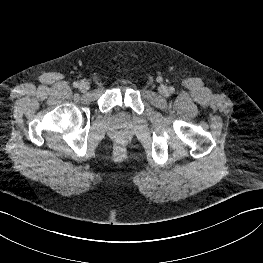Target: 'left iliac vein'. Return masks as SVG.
Masks as SVG:
<instances>
[{
	"label": "left iliac vein",
	"instance_id": "4c4485c4",
	"mask_svg": "<svg viewBox=\"0 0 263 263\" xmlns=\"http://www.w3.org/2000/svg\"><path fill=\"white\" fill-rule=\"evenodd\" d=\"M159 92L160 94H162L163 96H168L169 95V90L166 86L162 85L159 88Z\"/></svg>",
	"mask_w": 263,
	"mask_h": 263
}]
</instances>
